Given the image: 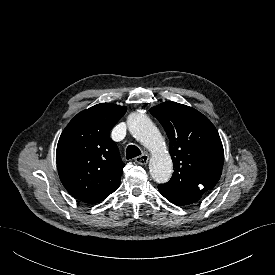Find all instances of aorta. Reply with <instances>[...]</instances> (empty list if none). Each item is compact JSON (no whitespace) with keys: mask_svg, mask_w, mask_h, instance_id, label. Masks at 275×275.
Returning a JSON list of instances; mask_svg holds the SVG:
<instances>
[{"mask_svg":"<svg viewBox=\"0 0 275 275\" xmlns=\"http://www.w3.org/2000/svg\"><path fill=\"white\" fill-rule=\"evenodd\" d=\"M127 125L130 133L150 152V174L157 183L167 182L173 172V163L163 138L148 116L140 112L129 115Z\"/></svg>","mask_w":275,"mask_h":275,"instance_id":"1","label":"aorta"}]
</instances>
